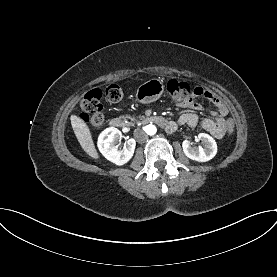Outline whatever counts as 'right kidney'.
<instances>
[{
  "label": "right kidney",
  "instance_id": "1",
  "mask_svg": "<svg viewBox=\"0 0 277 277\" xmlns=\"http://www.w3.org/2000/svg\"><path fill=\"white\" fill-rule=\"evenodd\" d=\"M122 138L120 130L114 127L105 129L98 138V148L103 156L113 162L116 165H124L133 156L136 141L135 139H129L124 146V149L119 151L116 143Z\"/></svg>",
  "mask_w": 277,
  "mask_h": 277
}]
</instances>
